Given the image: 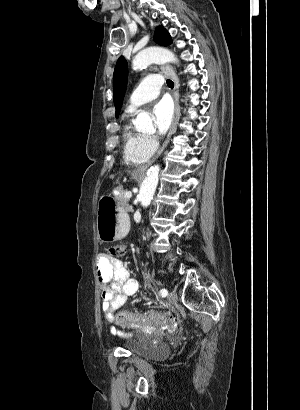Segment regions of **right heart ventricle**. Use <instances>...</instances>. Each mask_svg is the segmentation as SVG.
Segmentation results:
<instances>
[{
    "label": "right heart ventricle",
    "instance_id": "right-heart-ventricle-1",
    "mask_svg": "<svg viewBox=\"0 0 300 410\" xmlns=\"http://www.w3.org/2000/svg\"><path fill=\"white\" fill-rule=\"evenodd\" d=\"M131 113V112H128ZM123 159L127 164H138L147 161L152 152L144 145V136L134 131L128 122L122 130Z\"/></svg>",
    "mask_w": 300,
    "mask_h": 410
}]
</instances>
